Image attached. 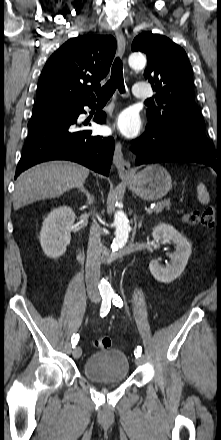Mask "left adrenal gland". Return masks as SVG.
I'll list each match as a JSON object with an SVG mask.
<instances>
[{"instance_id": "left-adrenal-gland-1", "label": "left adrenal gland", "mask_w": 221, "mask_h": 440, "mask_svg": "<svg viewBox=\"0 0 221 440\" xmlns=\"http://www.w3.org/2000/svg\"><path fill=\"white\" fill-rule=\"evenodd\" d=\"M142 219H143V217L141 218V220H140L139 223H138V227H139V228L142 226ZM135 223H136V217H135Z\"/></svg>"}]
</instances>
